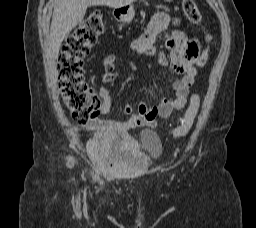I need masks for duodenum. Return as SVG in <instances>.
Returning <instances> with one entry per match:
<instances>
[{"label": "duodenum", "instance_id": "1", "mask_svg": "<svg viewBox=\"0 0 256 228\" xmlns=\"http://www.w3.org/2000/svg\"><path fill=\"white\" fill-rule=\"evenodd\" d=\"M114 13L117 15V16H120V15H123L125 13V8L123 7H116L114 9Z\"/></svg>", "mask_w": 256, "mask_h": 228}]
</instances>
